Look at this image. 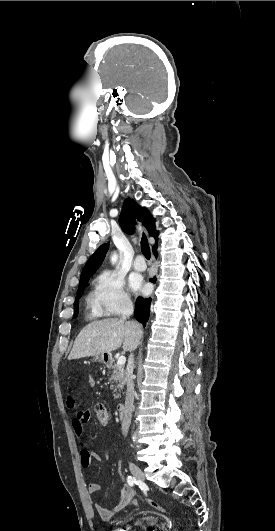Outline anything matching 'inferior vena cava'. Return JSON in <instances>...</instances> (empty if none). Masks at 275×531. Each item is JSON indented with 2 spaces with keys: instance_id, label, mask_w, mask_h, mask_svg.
<instances>
[{
  "instance_id": "inferior-vena-cava-1",
  "label": "inferior vena cava",
  "mask_w": 275,
  "mask_h": 531,
  "mask_svg": "<svg viewBox=\"0 0 275 531\" xmlns=\"http://www.w3.org/2000/svg\"><path fill=\"white\" fill-rule=\"evenodd\" d=\"M130 315H133V305L130 301V299H126L124 305H123V311H122V319H128ZM134 355L131 351V355H129V361L127 365V393H126V401H125V409H124V415H123V421L121 425V431L122 435L124 437H127L131 419H132V413H133V403H134V381H133V369H134Z\"/></svg>"
}]
</instances>
